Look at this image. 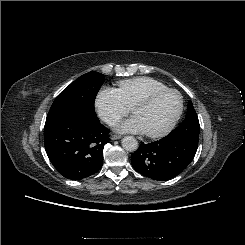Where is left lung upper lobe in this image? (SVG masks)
<instances>
[{"label": "left lung upper lobe", "instance_id": "1", "mask_svg": "<svg viewBox=\"0 0 245 245\" xmlns=\"http://www.w3.org/2000/svg\"><path fill=\"white\" fill-rule=\"evenodd\" d=\"M199 120L191 100L188 102V109L185 120L166 136L168 140L189 139L199 140Z\"/></svg>", "mask_w": 245, "mask_h": 245}]
</instances>
